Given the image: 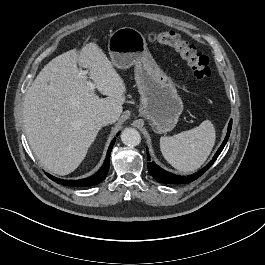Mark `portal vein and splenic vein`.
I'll list each match as a JSON object with an SVG mask.
<instances>
[{
  "mask_svg": "<svg viewBox=\"0 0 265 265\" xmlns=\"http://www.w3.org/2000/svg\"><path fill=\"white\" fill-rule=\"evenodd\" d=\"M79 76L85 80L87 86H88L91 90H93V91L95 90L96 85H95L92 81L87 80L86 72H85V71H80Z\"/></svg>",
  "mask_w": 265,
  "mask_h": 265,
  "instance_id": "portal-vein-and-splenic-vein-1",
  "label": "portal vein and splenic vein"
}]
</instances>
